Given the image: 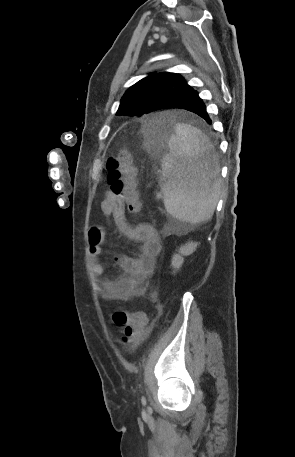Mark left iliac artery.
<instances>
[{
    "mask_svg": "<svg viewBox=\"0 0 295 457\" xmlns=\"http://www.w3.org/2000/svg\"><path fill=\"white\" fill-rule=\"evenodd\" d=\"M142 401H145V397H142Z\"/></svg>",
    "mask_w": 295,
    "mask_h": 457,
    "instance_id": "44dca946",
    "label": "left iliac artery"
}]
</instances>
